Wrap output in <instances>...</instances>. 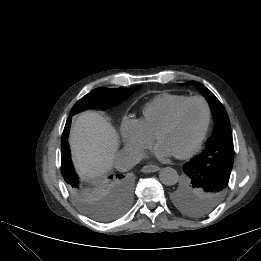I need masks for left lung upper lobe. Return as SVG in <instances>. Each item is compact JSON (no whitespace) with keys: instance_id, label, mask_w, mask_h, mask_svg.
<instances>
[{"instance_id":"5c2ea615","label":"left lung upper lobe","mask_w":261,"mask_h":261,"mask_svg":"<svg viewBox=\"0 0 261 261\" xmlns=\"http://www.w3.org/2000/svg\"><path fill=\"white\" fill-rule=\"evenodd\" d=\"M186 84L196 86L206 98L215 125L206 149L190 161L197 165L199 175L195 178L185 176L183 183L173 192L172 199L181 211L204 216L213 211L225 196L233 166L234 146L230 121L221 102L201 83L190 81Z\"/></svg>"}]
</instances>
